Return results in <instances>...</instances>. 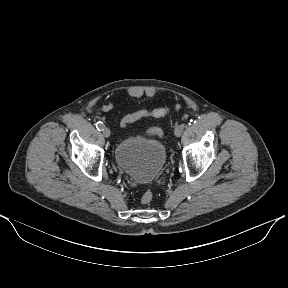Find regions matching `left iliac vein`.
Wrapping results in <instances>:
<instances>
[{
  "mask_svg": "<svg viewBox=\"0 0 288 288\" xmlns=\"http://www.w3.org/2000/svg\"><path fill=\"white\" fill-rule=\"evenodd\" d=\"M183 131H184V129H183V130L180 129V128H179V125H178V126L175 128V130H174V134H175L176 137H180V136L182 135Z\"/></svg>",
  "mask_w": 288,
  "mask_h": 288,
  "instance_id": "4c4485c4",
  "label": "left iliac vein"
}]
</instances>
